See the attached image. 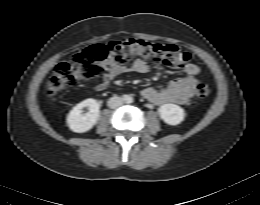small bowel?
<instances>
[{
	"instance_id": "c3829d8e",
	"label": "small bowel",
	"mask_w": 260,
	"mask_h": 205,
	"mask_svg": "<svg viewBox=\"0 0 260 205\" xmlns=\"http://www.w3.org/2000/svg\"><path fill=\"white\" fill-rule=\"evenodd\" d=\"M102 67V78L95 84V89L100 92L105 91L110 83L122 74L128 72L145 74L149 71V65L142 59H136L131 65H124L116 63L109 57L103 61ZM184 73V77L172 80L165 88H145L142 91L143 97L156 105L187 104L195 94L200 68L194 63H188L184 67Z\"/></svg>"
}]
</instances>
